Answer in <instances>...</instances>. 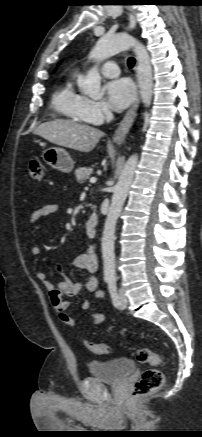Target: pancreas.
Here are the masks:
<instances>
[{
	"label": "pancreas",
	"instance_id": "obj_1",
	"mask_svg": "<svg viewBox=\"0 0 202 437\" xmlns=\"http://www.w3.org/2000/svg\"><path fill=\"white\" fill-rule=\"evenodd\" d=\"M91 174H93L91 167H81L75 170V176L78 182H84Z\"/></svg>",
	"mask_w": 202,
	"mask_h": 437
}]
</instances>
